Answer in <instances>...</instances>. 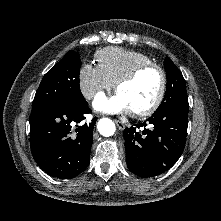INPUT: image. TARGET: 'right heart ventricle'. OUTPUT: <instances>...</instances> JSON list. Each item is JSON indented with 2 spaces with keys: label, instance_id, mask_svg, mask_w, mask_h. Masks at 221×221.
I'll list each match as a JSON object with an SVG mask.
<instances>
[{
  "label": "right heart ventricle",
  "instance_id": "obj_1",
  "mask_svg": "<svg viewBox=\"0 0 221 221\" xmlns=\"http://www.w3.org/2000/svg\"><path fill=\"white\" fill-rule=\"evenodd\" d=\"M97 66L116 83L136 66L151 63L152 59L139 51L108 47L96 53Z\"/></svg>",
  "mask_w": 221,
  "mask_h": 221
}]
</instances>
